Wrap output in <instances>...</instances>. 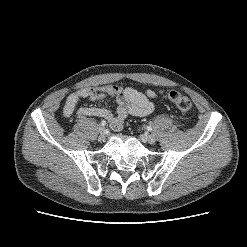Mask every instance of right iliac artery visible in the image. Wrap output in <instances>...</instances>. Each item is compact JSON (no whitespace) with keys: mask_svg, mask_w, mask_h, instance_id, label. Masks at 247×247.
I'll return each instance as SVG.
<instances>
[{"mask_svg":"<svg viewBox=\"0 0 247 247\" xmlns=\"http://www.w3.org/2000/svg\"><path fill=\"white\" fill-rule=\"evenodd\" d=\"M101 125H102V126H105V125H106V121L102 120V121H101Z\"/></svg>","mask_w":247,"mask_h":247,"instance_id":"right-iliac-artery-1","label":"right iliac artery"}]
</instances>
